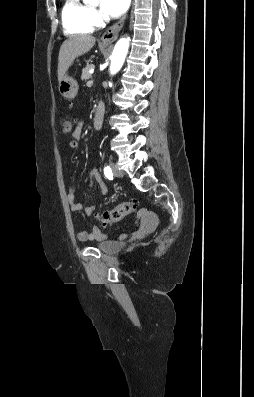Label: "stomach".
I'll list each match as a JSON object with an SVG mask.
<instances>
[{
	"label": "stomach",
	"instance_id": "1",
	"mask_svg": "<svg viewBox=\"0 0 254 397\" xmlns=\"http://www.w3.org/2000/svg\"><path fill=\"white\" fill-rule=\"evenodd\" d=\"M108 45H109V43L102 44V46H104V47H106ZM78 88L79 87H78L77 81L73 77H71L67 74H65L63 76V78L59 81L58 89H59L60 94L65 99H68V100L74 99L77 95Z\"/></svg>",
	"mask_w": 254,
	"mask_h": 397
}]
</instances>
